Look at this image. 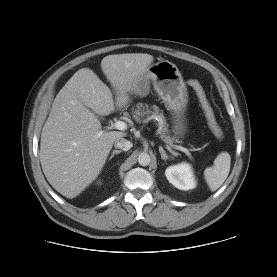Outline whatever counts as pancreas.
Listing matches in <instances>:
<instances>
[{
    "label": "pancreas",
    "mask_w": 277,
    "mask_h": 277,
    "mask_svg": "<svg viewBox=\"0 0 277 277\" xmlns=\"http://www.w3.org/2000/svg\"><path fill=\"white\" fill-rule=\"evenodd\" d=\"M132 116L139 124L147 123L150 120L157 121L158 133L165 143L172 145L174 142H180L176 137L170 136L166 118L158 106L138 103L136 108L132 109Z\"/></svg>",
    "instance_id": "obj_1"
}]
</instances>
